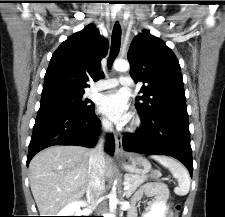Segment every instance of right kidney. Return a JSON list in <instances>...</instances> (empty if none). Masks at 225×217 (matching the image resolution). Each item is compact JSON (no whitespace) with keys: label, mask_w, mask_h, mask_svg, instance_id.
Returning a JSON list of instances; mask_svg holds the SVG:
<instances>
[{"label":"right kidney","mask_w":225,"mask_h":217,"mask_svg":"<svg viewBox=\"0 0 225 217\" xmlns=\"http://www.w3.org/2000/svg\"><path fill=\"white\" fill-rule=\"evenodd\" d=\"M86 202L79 201L74 202L69 205H67L65 208H63L57 216H81V209L80 207H85Z\"/></svg>","instance_id":"ca27d5eb"}]
</instances>
